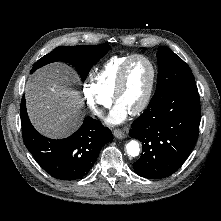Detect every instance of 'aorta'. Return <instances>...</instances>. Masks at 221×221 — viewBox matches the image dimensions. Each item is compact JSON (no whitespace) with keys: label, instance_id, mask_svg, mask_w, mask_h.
Masks as SVG:
<instances>
[{"label":"aorta","instance_id":"1","mask_svg":"<svg viewBox=\"0 0 221 221\" xmlns=\"http://www.w3.org/2000/svg\"><path fill=\"white\" fill-rule=\"evenodd\" d=\"M126 151L129 156L136 157L139 155L140 152V147L139 143L135 140H131L127 145H126Z\"/></svg>","mask_w":221,"mask_h":221}]
</instances>
